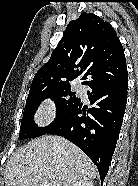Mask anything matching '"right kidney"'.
<instances>
[{"label":"right kidney","mask_w":138,"mask_h":186,"mask_svg":"<svg viewBox=\"0 0 138 186\" xmlns=\"http://www.w3.org/2000/svg\"><path fill=\"white\" fill-rule=\"evenodd\" d=\"M72 186H93V183L89 180H80L74 183Z\"/></svg>","instance_id":"obj_1"}]
</instances>
